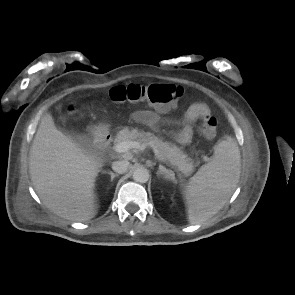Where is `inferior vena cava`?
<instances>
[{
	"mask_svg": "<svg viewBox=\"0 0 295 295\" xmlns=\"http://www.w3.org/2000/svg\"><path fill=\"white\" fill-rule=\"evenodd\" d=\"M128 166L129 162L127 160H119L112 163V169L120 174L125 173L128 169Z\"/></svg>",
	"mask_w": 295,
	"mask_h": 295,
	"instance_id": "1",
	"label": "inferior vena cava"
}]
</instances>
